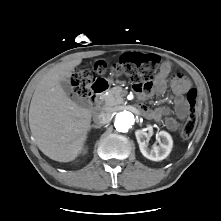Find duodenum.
<instances>
[{
    "label": "duodenum",
    "instance_id": "1",
    "mask_svg": "<svg viewBox=\"0 0 221 221\" xmlns=\"http://www.w3.org/2000/svg\"><path fill=\"white\" fill-rule=\"evenodd\" d=\"M108 89V83L104 79H96L90 86V100L95 102Z\"/></svg>",
    "mask_w": 221,
    "mask_h": 221
}]
</instances>
